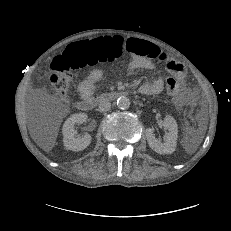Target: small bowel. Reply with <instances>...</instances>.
Wrapping results in <instances>:
<instances>
[{
	"label": "small bowel",
	"instance_id": "c3829d8e",
	"mask_svg": "<svg viewBox=\"0 0 231 231\" xmlns=\"http://www.w3.org/2000/svg\"><path fill=\"white\" fill-rule=\"evenodd\" d=\"M126 51L130 54L128 66L134 70H154V58L163 59V67L179 82L184 83L186 73L184 66L173 56H166L160 49L151 42L139 38H128L124 43ZM103 73L100 70H93L83 81L80 82L78 90L83 98L91 97L97 84L101 81ZM164 88L161 79L144 83L140 86V92L144 95L159 94Z\"/></svg>",
	"mask_w": 231,
	"mask_h": 231
}]
</instances>
